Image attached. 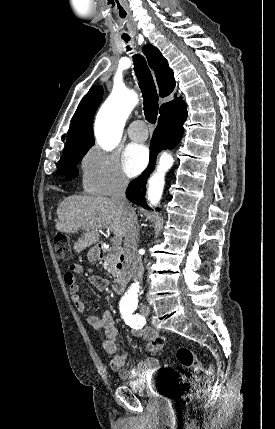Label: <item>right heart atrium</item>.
Segmentation results:
<instances>
[{"label":"right heart atrium","instance_id":"d8ad5b80","mask_svg":"<svg viewBox=\"0 0 275 429\" xmlns=\"http://www.w3.org/2000/svg\"><path fill=\"white\" fill-rule=\"evenodd\" d=\"M80 171L84 190L94 195H110L129 184L118 156L97 146L85 152L80 161Z\"/></svg>","mask_w":275,"mask_h":429}]
</instances>
